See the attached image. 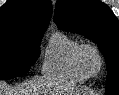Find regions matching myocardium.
<instances>
[{
    "mask_svg": "<svg viewBox=\"0 0 119 95\" xmlns=\"http://www.w3.org/2000/svg\"><path fill=\"white\" fill-rule=\"evenodd\" d=\"M87 51L94 52L99 60V68L96 72H91L90 70H88V68L85 65L84 55ZM75 61H76V64L79 70L87 77L98 76L104 67V58H103L101 51L96 45L91 44V43H81L80 44V46L78 47L76 51Z\"/></svg>",
    "mask_w": 119,
    "mask_h": 95,
    "instance_id": "f54148a6",
    "label": "myocardium"
}]
</instances>
